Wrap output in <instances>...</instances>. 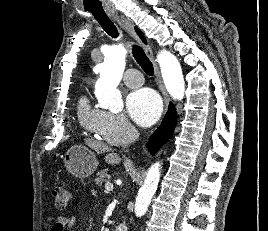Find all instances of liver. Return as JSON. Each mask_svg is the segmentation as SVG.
<instances>
[{
    "label": "liver",
    "mask_w": 268,
    "mask_h": 231,
    "mask_svg": "<svg viewBox=\"0 0 268 231\" xmlns=\"http://www.w3.org/2000/svg\"><path fill=\"white\" fill-rule=\"evenodd\" d=\"M86 144L92 148L97 153H105L109 152L105 156V161L109 164H119L121 162V158L117 153L111 152V148H109L106 144L93 140V139H86Z\"/></svg>",
    "instance_id": "obj_1"
}]
</instances>
